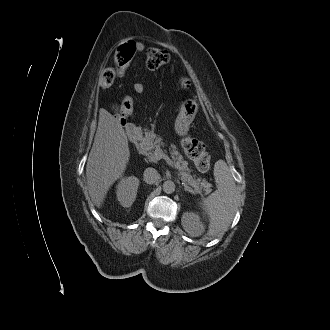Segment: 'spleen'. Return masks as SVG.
Masks as SVG:
<instances>
[{"label": "spleen", "instance_id": "spleen-1", "mask_svg": "<svg viewBox=\"0 0 330 330\" xmlns=\"http://www.w3.org/2000/svg\"><path fill=\"white\" fill-rule=\"evenodd\" d=\"M214 176L217 190L200 203L204 214L209 218L208 235L210 236L226 229L238 208V190L225 161L218 160L215 163Z\"/></svg>", "mask_w": 330, "mask_h": 330}]
</instances>
